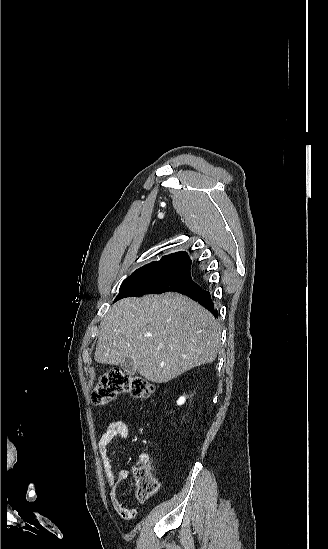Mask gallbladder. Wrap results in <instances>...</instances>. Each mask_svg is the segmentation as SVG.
<instances>
[{"mask_svg":"<svg viewBox=\"0 0 328 549\" xmlns=\"http://www.w3.org/2000/svg\"><path fill=\"white\" fill-rule=\"evenodd\" d=\"M121 369L125 371L126 375H136L135 361L130 359V357H127L125 361H122Z\"/></svg>","mask_w":328,"mask_h":549,"instance_id":"1","label":"gallbladder"}]
</instances>
